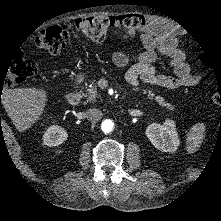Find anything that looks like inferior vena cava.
I'll use <instances>...</instances> for the list:
<instances>
[{"mask_svg": "<svg viewBox=\"0 0 221 221\" xmlns=\"http://www.w3.org/2000/svg\"><path fill=\"white\" fill-rule=\"evenodd\" d=\"M86 118L91 123H97L102 119V112L98 108H91L86 112Z\"/></svg>", "mask_w": 221, "mask_h": 221, "instance_id": "inferior-vena-cava-1", "label": "inferior vena cava"}]
</instances>
